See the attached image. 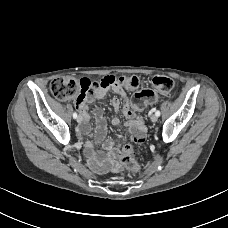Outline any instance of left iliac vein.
Listing matches in <instances>:
<instances>
[{
	"mask_svg": "<svg viewBox=\"0 0 228 228\" xmlns=\"http://www.w3.org/2000/svg\"><path fill=\"white\" fill-rule=\"evenodd\" d=\"M150 119L152 122H156L158 120V116H156V114H153Z\"/></svg>",
	"mask_w": 228,
	"mask_h": 228,
	"instance_id": "left-iliac-vein-1",
	"label": "left iliac vein"
}]
</instances>
